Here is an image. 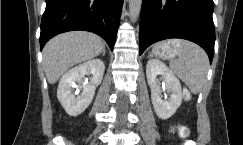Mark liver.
I'll list each match as a JSON object with an SVG mask.
<instances>
[{
    "mask_svg": "<svg viewBox=\"0 0 243 145\" xmlns=\"http://www.w3.org/2000/svg\"><path fill=\"white\" fill-rule=\"evenodd\" d=\"M104 48L101 39L89 32L73 31L51 39L43 49V65L50 84L70 67L98 56Z\"/></svg>",
    "mask_w": 243,
    "mask_h": 145,
    "instance_id": "obj_1",
    "label": "liver"
}]
</instances>
